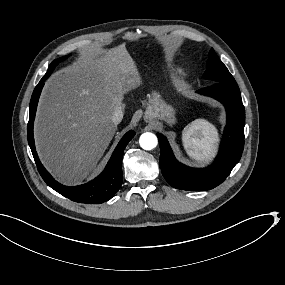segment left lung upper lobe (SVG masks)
Segmentation results:
<instances>
[{
    "mask_svg": "<svg viewBox=\"0 0 285 285\" xmlns=\"http://www.w3.org/2000/svg\"><path fill=\"white\" fill-rule=\"evenodd\" d=\"M204 79L215 82H236L226 66L220 61L213 49L210 50L207 62V70L203 75Z\"/></svg>",
    "mask_w": 285,
    "mask_h": 285,
    "instance_id": "obj_1",
    "label": "left lung upper lobe"
}]
</instances>
